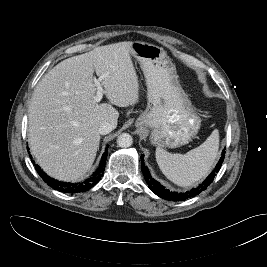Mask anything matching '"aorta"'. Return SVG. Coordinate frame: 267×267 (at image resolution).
<instances>
[{
    "label": "aorta",
    "mask_w": 267,
    "mask_h": 267,
    "mask_svg": "<svg viewBox=\"0 0 267 267\" xmlns=\"http://www.w3.org/2000/svg\"><path fill=\"white\" fill-rule=\"evenodd\" d=\"M133 143L132 136L128 133H122L118 136L117 144L122 148L130 147Z\"/></svg>",
    "instance_id": "1"
}]
</instances>
